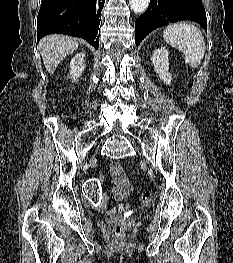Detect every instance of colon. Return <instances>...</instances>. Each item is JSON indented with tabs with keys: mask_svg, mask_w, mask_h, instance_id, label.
Returning <instances> with one entry per match:
<instances>
[{
	"mask_svg": "<svg viewBox=\"0 0 233 263\" xmlns=\"http://www.w3.org/2000/svg\"><path fill=\"white\" fill-rule=\"evenodd\" d=\"M98 176H103V171L97 172ZM101 180L100 178H87V182H84L85 189V199H88V208H97L100 200L102 199L103 190H101ZM141 203L144 206H147L152 201V196L150 192H143L140 196ZM123 233V226L120 223H117L113 228V234L116 237L121 236Z\"/></svg>",
	"mask_w": 233,
	"mask_h": 263,
	"instance_id": "5ec220e1",
	"label": "colon"
}]
</instances>
